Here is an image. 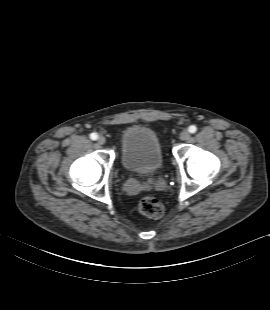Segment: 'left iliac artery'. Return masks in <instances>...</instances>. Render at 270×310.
<instances>
[{
    "instance_id": "44dca946",
    "label": "left iliac artery",
    "mask_w": 270,
    "mask_h": 310,
    "mask_svg": "<svg viewBox=\"0 0 270 310\" xmlns=\"http://www.w3.org/2000/svg\"><path fill=\"white\" fill-rule=\"evenodd\" d=\"M196 131H197V127H196V126L191 125V126L189 127V132H190V133H195Z\"/></svg>"
}]
</instances>
